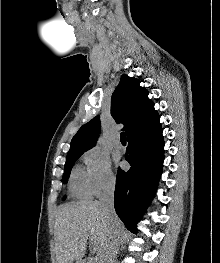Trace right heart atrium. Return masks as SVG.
<instances>
[{
	"label": "right heart atrium",
	"instance_id": "d8ad5b80",
	"mask_svg": "<svg viewBox=\"0 0 220 263\" xmlns=\"http://www.w3.org/2000/svg\"><path fill=\"white\" fill-rule=\"evenodd\" d=\"M87 174L94 195H101L115 185V175L109 158L97 149H90L83 154Z\"/></svg>",
	"mask_w": 220,
	"mask_h": 263
}]
</instances>
